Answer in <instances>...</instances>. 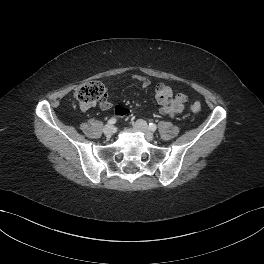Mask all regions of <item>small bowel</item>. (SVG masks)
<instances>
[{"label": "small bowel", "mask_w": 264, "mask_h": 264, "mask_svg": "<svg viewBox=\"0 0 264 264\" xmlns=\"http://www.w3.org/2000/svg\"><path fill=\"white\" fill-rule=\"evenodd\" d=\"M134 80L138 81L143 88H147L150 85L149 79L144 76L135 75L132 77ZM155 96L157 102L160 104L159 112L162 115H168L174 117L182 112L185 104L188 100L187 96L182 93H174L172 89L163 84L159 83L155 87ZM112 106L109 95L100 102V107L103 110H109ZM89 107L81 106L82 110H87ZM114 112L116 115L124 116L128 114V110L122 106H115Z\"/></svg>", "instance_id": "obj_1"}]
</instances>
